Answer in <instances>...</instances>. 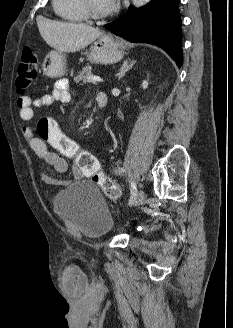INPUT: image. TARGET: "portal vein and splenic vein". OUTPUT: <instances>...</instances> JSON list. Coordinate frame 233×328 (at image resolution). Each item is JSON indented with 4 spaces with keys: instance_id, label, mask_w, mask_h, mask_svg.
<instances>
[{
    "instance_id": "18ae733b",
    "label": "portal vein and splenic vein",
    "mask_w": 233,
    "mask_h": 328,
    "mask_svg": "<svg viewBox=\"0 0 233 328\" xmlns=\"http://www.w3.org/2000/svg\"><path fill=\"white\" fill-rule=\"evenodd\" d=\"M88 82H92V83H97V82H103V79H101L100 77L98 76H91V77H88Z\"/></svg>"
}]
</instances>
